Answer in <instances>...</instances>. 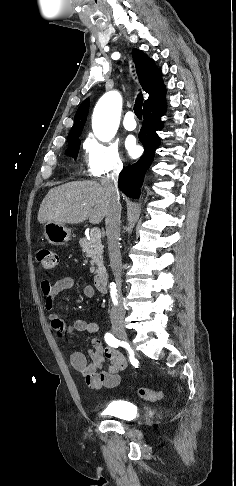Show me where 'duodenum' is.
Instances as JSON below:
<instances>
[{"instance_id":"1","label":"duodenum","mask_w":236,"mask_h":486,"mask_svg":"<svg viewBox=\"0 0 236 486\" xmlns=\"http://www.w3.org/2000/svg\"><path fill=\"white\" fill-rule=\"evenodd\" d=\"M107 273L100 271L95 275L94 285L99 292H106L107 290Z\"/></svg>"}]
</instances>
